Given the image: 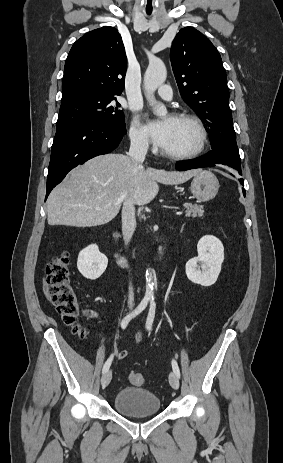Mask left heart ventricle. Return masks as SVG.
I'll use <instances>...</instances> for the list:
<instances>
[{
  "instance_id": "obj_1",
  "label": "left heart ventricle",
  "mask_w": 283,
  "mask_h": 463,
  "mask_svg": "<svg viewBox=\"0 0 283 463\" xmlns=\"http://www.w3.org/2000/svg\"><path fill=\"white\" fill-rule=\"evenodd\" d=\"M170 129L163 151L169 153H185L196 148L199 134L196 127L187 121L169 119Z\"/></svg>"
}]
</instances>
